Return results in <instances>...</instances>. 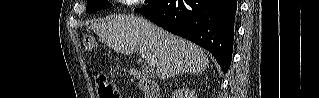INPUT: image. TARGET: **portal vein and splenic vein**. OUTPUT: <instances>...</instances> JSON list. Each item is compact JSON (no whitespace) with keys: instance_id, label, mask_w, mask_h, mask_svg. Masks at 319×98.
I'll list each match as a JSON object with an SVG mask.
<instances>
[{"instance_id":"18ae733b","label":"portal vein and splenic vein","mask_w":319,"mask_h":98,"mask_svg":"<svg viewBox=\"0 0 319 98\" xmlns=\"http://www.w3.org/2000/svg\"><path fill=\"white\" fill-rule=\"evenodd\" d=\"M138 50H139V53L141 54V56L147 62V64H149L150 66H155L156 61L154 60L152 55L147 50H145L143 48H139Z\"/></svg>"}]
</instances>
